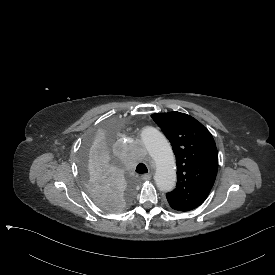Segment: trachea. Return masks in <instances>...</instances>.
Masks as SVG:
<instances>
[{
    "label": "trachea",
    "instance_id": "obj_1",
    "mask_svg": "<svg viewBox=\"0 0 275 275\" xmlns=\"http://www.w3.org/2000/svg\"><path fill=\"white\" fill-rule=\"evenodd\" d=\"M147 171L148 169L143 163L138 164L136 167V172L139 174L147 173Z\"/></svg>",
    "mask_w": 275,
    "mask_h": 275
}]
</instances>
